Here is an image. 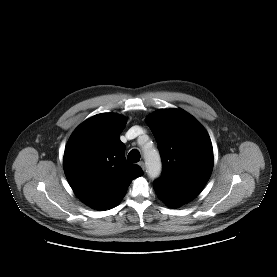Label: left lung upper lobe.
<instances>
[{
  "mask_svg": "<svg viewBox=\"0 0 277 277\" xmlns=\"http://www.w3.org/2000/svg\"><path fill=\"white\" fill-rule=\"evenodd\" d=\"M161 154L163 171L154 181L169 191L196 197L213 168V148L206 130L190 114L162 109L147 119Z\"/></svg>",
  "mask_w": 277,
  "mask_h": 277,
  "instance_id": "obj_1",
  "label": "left lung upper lobe"
}]
</instances>
